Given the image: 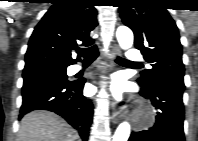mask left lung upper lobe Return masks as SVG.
<instances>
[{
  "mask_svg": "<svg viewBox=\"0 0 198 141\" xmlns=\"http://www.w3.org/2000/svg\"><path fill=\"white\" fill-rule=\"evenodd\" d=\"M123 23L135 35V47L141 50L152 69L138 80L143 89L167 79L184 84L182 45L178 28L159 0H125L119 7Z\"/></svg>",
  "mask_w": 198,
  "mask_h": 141,
  "instance_id": "1",
  "label": "left lung upper lobe"
}]
</instances>
